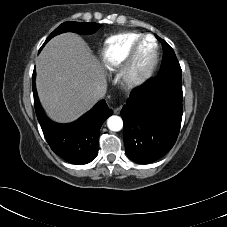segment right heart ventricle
I'll return each mask as SVG.
<instances>
[{"instance_id": "right-heart-ventricle-1", "label": "right heart ventricle", "mask_w": 227, "mask_h": 227, "mask_svg": "<svg viewBox=\"0 0 227 227\" xmlns=\"http://www.w3.org/2000/svg\"><path fill=\"white\" fill-rule=\"evenodd\" d=\"M143 34L139 32H121L108 37L101 49L100 57L109 70L118 69L127 59L133 45Z\"/></svg>"}]
</instances>
